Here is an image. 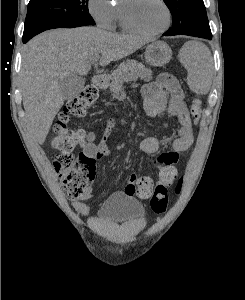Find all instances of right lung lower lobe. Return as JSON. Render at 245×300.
I'll return each instance as SVG.
<instances>
[{"label": "right lung lower lobe", "instance_id": "1", "mask_svg": "<svg viewBox=\"0 0 245 300\" xmlns=\"http://www.w3.org/2000/svg\"><path fill=\"white\" fill-rule=\"evenodd\" d=\"M31 38H23V43H26Z\"/></svg>", "mask_w": 245, "mask_h": 300}]
</instances>
